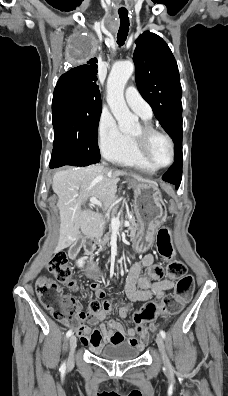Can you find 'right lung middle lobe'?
I'll use <instances>...</instances> for the list:
<instances>
[{
    "label": "right lung middle lobe",
    "mask_w": 228,
    "mask_h": 396,
    "mask_svg": "<svg viewBox=\"0 0 228 396\" xmlns=\"http://www.w3.org/2000/svg\"><path fill=\"white\" fill-rule=\"evenodd\" d=\"M79 48V58L86 59L91 55L89 43L83 41ZM101 111V101L86 100L71 90L55 88L52 101L54 143L51 158L73 166L99 162L97 129Z\"/></svg>",
    "instance_id": "1"
}]
</instances>
